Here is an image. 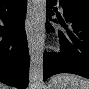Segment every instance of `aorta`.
Instances as JSON below:
<instances>
[{
  "mask_svg": "<svg viewBox=\"0 0 89 89\" xmlns=\"http://www.w3.org/2000/svg\"><path fill=\"white\" fill-rule=\"evenodd\" d=\"M34 32L30 47L29 89H44L43 52L45 42L46 0H33Z\"/></svg>",
  "mask_w": 89,
  "mask_h": 89,
  "instance_id": "aorta-1",
  "label": "aorta"
}]
</instances>
